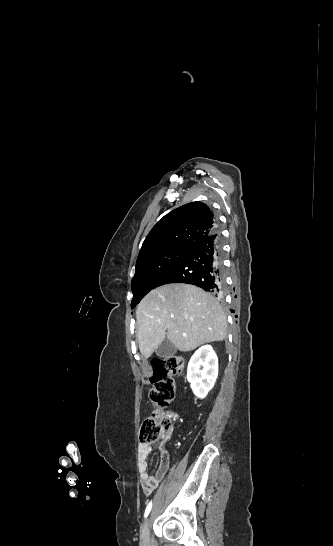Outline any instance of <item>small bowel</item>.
Wrapping results in <instances>:
<instances>
[{
    "instance_id": "c3829d8e",
    "label": "small bowel",
    "mask_w": 333,
    "mask_h": 546,
    "mask_svg": "<svg viewBox=\"0 0 333 546\" xmlns=\"http://www.w3.org/2000/svg\"><path fill=\"white\" fill-rule=\"evenodd\" d=\"M153 451V447L148 443H140L138 446L139 472L140 483L145 496H149L159 485L160 481L166 476L170 468V454L160 448V462L158 469L154 475L149 473V457Z\"/></svg>"
}]
</instances>
